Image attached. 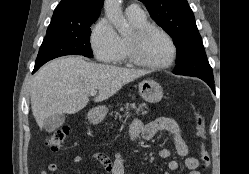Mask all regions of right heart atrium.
I'll use <instances>...</instances> for the list:
<instances>
[{
  "mask_svg": "<svg viewBox=\"0 0 249 174\" xmlns=\"http://www.w3.org/2000/svg\"><path fill=\"white\" fill-rule=\"evenodd\" d=\"M90 44L95 57L105 63H114L121 55L120 37L107 18H101L93 27Z\"/></svg>",
  "mask_w": 249,
  "mask_h": 174,
  "instance_id": "obj_1",
  "label": "right heart atrium"
}]
</instances>
